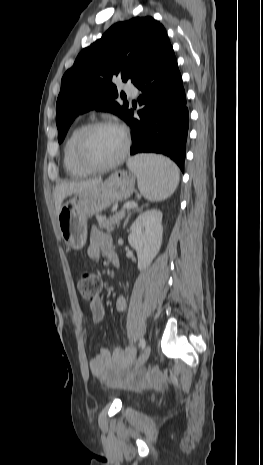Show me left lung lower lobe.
<instances>
[{
	"label": "left lung lower lobe",
	"mask_w": 263,
	"mask_h": 465,
	"mask_svg": "<svg viewBox=\"0 0 263 465\" xmlns=\"http://www.w3.org/2000/svg\"><path fill=\"white\" fill-rule=\"evenodd\" d=\"M134 85L141 90L139 119L129 110L126 123L132 129L130 154L155 152L167 155L184 170L188 109L182 77L170 43L165 44Z\"/></svg>",
	"instance_id": "0a47b994"
}]
</instances>
